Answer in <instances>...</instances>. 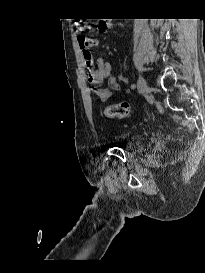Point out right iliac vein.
<instances>
[{
	"label": "right iliac vein",
	"instance_id": "1",
	"mask_svg": "<svg viewBox=\"0 0 205 273\" xmlns=\"http://www.w3.org/2000/svg\"><path fill=\"white\" fill-rule=\"evenodd\" d=\"M147 89V83L143 76H139L137 81V90L141 94Z\"/></svg>",
	"mask_w": 205,
	"mask_h": 273
}]
</instances>
